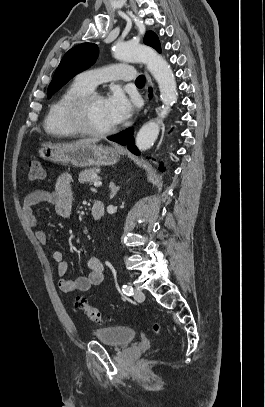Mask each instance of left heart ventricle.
I'll list each match as a JSON object with an SVG mask.
<instances>
[{"mask_svg":"<svg viewBox=\"0 0 265 407\" xmlns=\"http://www.w3.org/2000/svg\"><path fill=\"white\" fill-rule=\"evenodd\" d=\"M86 122L91 129L103 131L114 127L104 99L93 101L87 109Z\"/></svg>","mask_w":265,"mask_h":407,"instance_id":"left-heart-ventricle-1","label":"left heart ventricle"}]
</instances>
